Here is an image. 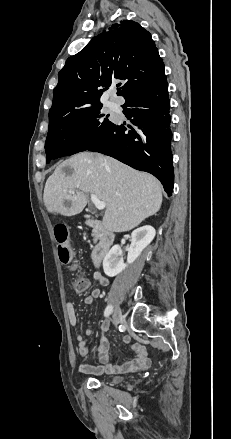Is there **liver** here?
I'll use <instances>...</instances> for the list:
<instances>
[{
    "mask_svg": "<svg viewBox=\"0 0 231 439\" xmlns=\"http://www.w3.org/2000/svg\"><path fill=\"white\" fill-rule=\"evenodd\" d=\"M89 194L106 204L103 226L110 232L132 230L162 204L161 184L154 176L90 152L78 153L55 169L43 200L49 213L73 216L83 211Z\"/></svg>",
    "mask_w": 231,
    "mask_h": 439,
    "instance_id": "1",
    "label": "liver"
}]
</instances>
